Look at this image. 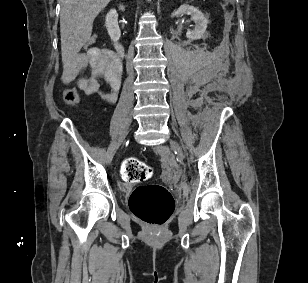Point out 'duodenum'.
Returning a JSON list of instances; mask_svg holds the SVG:
<instances>
[{"instance_id":"1","label":"duodenum","mask_w":308,"mask_h":283,"mask_svg":"<svg viewBox=\"0 0 308 283\" xmlns=\"http://www.w3.org/2000/svg\"><path fill=\"white\" fill-rule=\"evenodd\" d=\"M114 45L118 53L123 56L124 55V46L120 41L115 40Z\"/></svg>"}]
</instances>
